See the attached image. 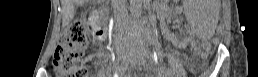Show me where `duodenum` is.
<instances>
[{
    "label": "duodenum",
    "instance_id": "duodenum-1",
    "mask_svg": "<svg viewBox=\"0 0 258 77\" xmlns=\"http://www.w3.org/2000/svg\"><path fill=\"white\" fill-rule=\"evenodd\" d=\"M92 32H93V34H97V28L95 27V26H93V28H92Z\"/></svg>",
    "mask_w": 258,
    "mask_h": 77
}]
</instances>
